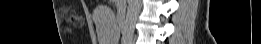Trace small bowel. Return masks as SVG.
Returning <instances> with one entry per match:
<instances>
[{
  "label": "small bowel",
  "instance_id": "obj_1",
  "mask_svg": "<svg viewBox=\"0 0 261 44\" xmlns=\"http://www.w3.org/2000/svg\"><path fill=\"white\" fill-rule=\"evenodd\" d=\"M118 8L120 9V11L123 9V5L121 3H119Z\"/></svg>",
  "mask_w": 261,
  "mask_h": 44
}]
</instances>
